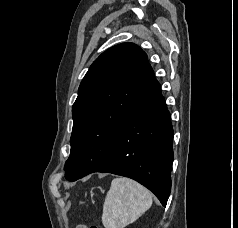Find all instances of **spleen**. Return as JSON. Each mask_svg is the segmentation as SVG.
Listing matches in <instances>:
<instances>
[{"mask_svg": "<svg viewBox=\"0 0 238 228\" xmlns=\"http://www.w3.org/2000/svg\"><path fill=\"white\" fill-rule=\"evenodd\" d=\"M152 205V195L136 181L113 179L103 204L102 223L105 228H124L135 222Z\"/></svg>", "mask_w": 238, "mask_h": 228, "instance_id": "spleen-1", "label": "spleen"}]
</instances>
